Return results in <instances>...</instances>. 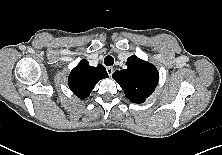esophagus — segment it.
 <instances>
[{"mask_svg":"<svg viewBox=\"0 0 222 155\" xmlns=\"http://www.w3.org/2000/svg\"><path fill=\"white\" fill-rule=\"evenodd\" d=\"M106 71H107L109 76H112L114 69L112 67H107Z\"/></svg>","mask_w":222,"mask_h":155,"instance_id":"esophagus-1","label":"esophagus"}]
</instances>
